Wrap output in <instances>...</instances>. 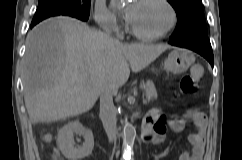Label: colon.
Instances as JSON below:
<instances>
[{"instance_id":"colon-1","label":"colon","mask_w":242,"mask_h":160,"mask_svg":"<svg viewBox=\"0 0 242 160\" xmlns=\"http://www.w3.org/2000/svg\"><path fill=\"white\" fill-rule=\"evenodd\" d=\"M203 76V67L201 65H193L191 67L190 73L185 75L179 84L178 92L181 94H191L195 92L198 88V82ZM165 116L160 115L154 122V128L157 131H164Z\"/></svg>"}]
</instances>
